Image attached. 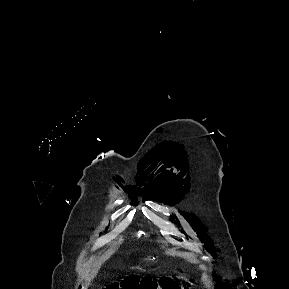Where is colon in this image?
Masks as SVG:
<instances>
[{
    "instance_id": "5ec220e1",
    "label": "colon",
    "mask_w": 289,
    "mask_h": 289,
    "mask_svg": "<svg viewBox=\"0 0 289 289\" xmlns=\"http://www.w3.org/2000/svg\"><path fill=\"white\" fill-rule=\"evenodd\" d=\"M189 280H177L173 277L151 278L127 277L120 282L108 284L103 289H188Z\"/></svg>"
}]
</instances>
